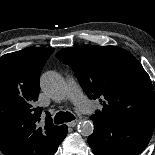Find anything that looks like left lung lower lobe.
Masks as SVG:
<instances>
[{
	"label": "left lung lower lobe",
	"instance_id": "obj_1",
	"mask_svg": "<svg viewBox=\"0 0 155 155\" xmlns=\"http://www.w3.org/2000/svg\"><path fill=\"white\" fill-rule=\"evenodd\" d=\"M94 132L88 138L95 155H138L147 146L155 119L110 120L91 116Z\"/></svg>",
	"mask_w": 155,
	"mask_h": 155
}]
</instances>
